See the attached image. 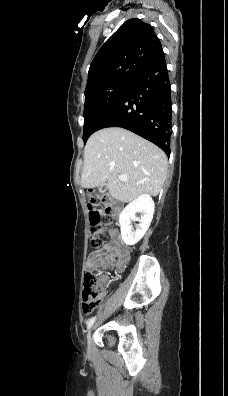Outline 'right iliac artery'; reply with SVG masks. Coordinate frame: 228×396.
I'll use <instances>...</instances> for the list:
<instances>
[{
  "instance_id": "1",
  "label": "right iliac artery",
  "mask_w": 228,
  "mask_h": 396,
  "mask_svg": "<svg viewBox=\"0 0 228 396\" xmlns=\"http://www.w3.org/2000/svg\"><path fill=\"white\" fill-rule=\"evenodd\" d=\"M95 320H96V317H92V318L88 321V323H87V329H89V328L93 325V323L95 322Z\"/></svg>"
}]
</instances>
